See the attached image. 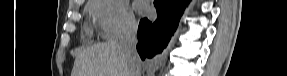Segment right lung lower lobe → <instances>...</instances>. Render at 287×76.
Segmentation results:
<instances>
[{"instance_id":"obj_1","label":"right lung lower lobe","mask_w":287,"mask_h":76,"mask_svg":"<svg viewBox=\"0 0 287 76\" xmlns=\"http://www.w3.org/2000/svg\"><path fill=\"white\" fill-rule=\"evenodd\" d=\"M190 0H154L157 19L140 21L137 50L142 60L152 58L168 44Z\"/></svg>"}]
</instances>
